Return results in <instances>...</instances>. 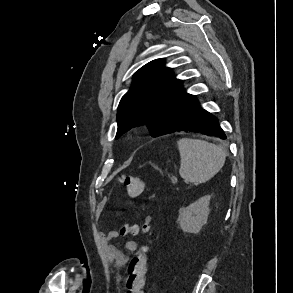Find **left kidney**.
I'll use <instances>...</instances> for the list:
<instances>
[{
  "instance_id": "obj_1",
  "label": "left kidney",
  "mask_w": 293,
  "mask_h": 293,
  "mask_svg": "<svg viewBox=\"0 0 293 293\" xmlns=\"http://www.w3.org/2000/svg\"><path fill=\"white\" fill-rule=\"evenodd\" d=\"M211 196H203L179 211L178 222L185 233L197 234L207 223Z\"/></svg>"
}]
</instances>
